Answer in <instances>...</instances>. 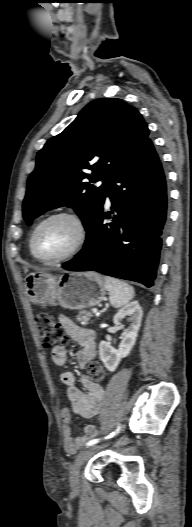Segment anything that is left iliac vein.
<instances>
[{"instance_id":"4c4485c4","label":"left iliac vein","mask_w":192,"mask_h":527,"mask_svg":"<svg viewBox=\"0 0 192 527\" xmlns=\"http://www.w3.org/2000/svg\"><path fill=\"white\" fill-rule=\"evenodd\" d=\"M103 448L101 445H93L83 451H81L75 459L73 468L70 474V485L73 490L77 491L80 487L79 482V471L80 467L98 450Z\"/></svg>"}]
</instances>
